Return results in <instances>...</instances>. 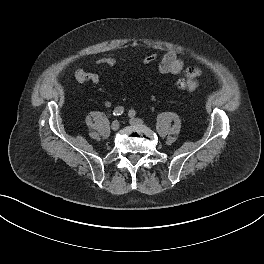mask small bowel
I'll list each match as a JSON object with an SVG mask.
<instances>
[{
    "label": "small bowel",
    "mask_w": 264,
    "mask_h": 264,
    "mask_svg": "<svg viewBox=\"0 0 264 264\" xmlns=\"http://www.w3.org/2000/svg\"><path fill=\"white\" fill-rule=\"evenodd\" d=\"M184 59L180 57L175 51H167L161 58L158 64V72L161 75H177L184 68ZM201 74L200 69L196 67H188L185 70V75L195 82V79ZM103 77L101 72H87L83 68H79L75 72V78L80 83L91 82L99 83Z\"/></svg>",
    "instance_id": "1"
}]
</instances>
